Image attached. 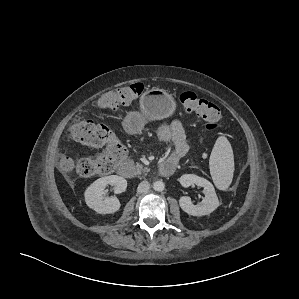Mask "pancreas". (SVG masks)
<instances>
[{"label":"pancreas","instance_id":"pancreas-1","mask_svg":"<svg viewBox=\"0 0 299 299\" xmlns=\"http://www.w3.org/2000/svg\"><path fill=\"white\" fill-rule=\"evenodd\" d=\"M136 168H137V173L138 174H140L141 171H143V172H148L149 171V169L147 167L143 168L142 164H140V163H137Z\"/></svg>","mask_w":299,"mask_h":299}]
</instances>
